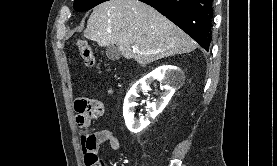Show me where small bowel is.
Segmentation results:
<instances>
[{
  "label": "small bowel",
  "instance_id": "c3829d8e",
  "mask_svg": "<svg viewBox=\"0 0 277 166\" xmlns=\"http://www.w3.org/2000/svg\"><path fill=\"white\" fill-rule=\"evenodd\" d=\"M112 93V91H109ZM76 123L84 128L89 125L91 117L101 118L105 109L103 103L96 98H78L75 101ZM103 143H108L113 150L120 148V142L117 137L109 130H100L94 133L81 134V146L85 163L88 166H94L90 158L97 156L99 147Z\"/></svg>",
  "mask_w": 277,
  "mask_h": 166
}]
</instances>
